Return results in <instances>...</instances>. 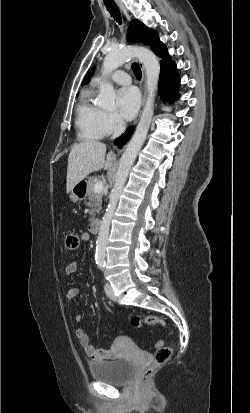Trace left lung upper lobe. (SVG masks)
Masks as SVG:
<instances>
[{"mask_svg":"<svg viewBox=\"0 0 250 413\" xmlns=\"http://www.w3.org/2000/svg\"><path fill=\"white\" fill-rule=\"evenodd\" d=\"M127 39L129 42H142L150 45L154 52L166 48L159 40L158 34L154 30L146 27L142 22L136 19L130 22Z\"/></svg>","mask_w":250,"mask_h":413,"instance_id":"1","label":"left lung upper lobe"}]
</instances>
